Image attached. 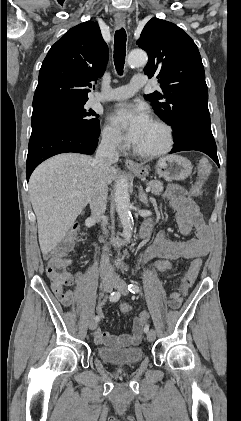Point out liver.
<instances>
[{"mask_svg":"<svg viewBox=\"0 0 241 421\" xmlns=\"http://www.w3.org/2000/svg\"><path fill=\"white\" fill-rule=\"evenodd\" d=\"M94 158L77 153L56 155L40 164L29 180V195L38 224V237L44 255L66 236L78 215L88 204L97 181ZM116 175L106 172L107 184ZM79 192L80 196H71Z\"/></svg>","mask_w":241,"mask_h":421,"instance_id":"6515ba94","label":"liver"}]
</instances>
